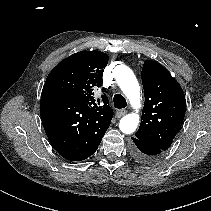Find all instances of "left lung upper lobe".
Segmentation results:
<instances>
[{
    "label": "left lung upper lobe",
    "mask_w": 211,
    "mask_h": 211,
    "mask_svg": "<svg viewBox=\"0 0 211 211\" xmlns=\"http://www.w3.org/2000/svg\"><path fill=\"white\" fill-rule=\"evenodd\" d=\"M145 103L135 138L166 151L184 120L186 101L179 83L159 63L146 60L141 73Z\"/></svg>",
    "instance_id": "5c2ea615"
}]
</instances>
